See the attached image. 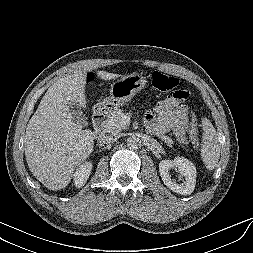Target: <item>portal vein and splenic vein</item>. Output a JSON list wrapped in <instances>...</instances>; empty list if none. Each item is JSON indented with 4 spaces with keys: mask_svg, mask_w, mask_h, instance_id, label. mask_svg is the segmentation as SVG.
I'll use <instances>...</instances> for the list:
<instances>
[{
    "mask_svg": "<svg viewBox=\"0 0 253 253\" xmlns=\"http://www.w3.org/2000/svg\"><path fill=\"white\" fill-rule=\"evenodd\" d=\"M122 122H123L124 124H126L127 118H126V117H123V118H122Z\"/></svg>",
    "mask_w": 253,
    "mask_h": 253,
    "instance_id": "obj_1",
    "label": "portal vein and splenic vein"
}]
</instances>
